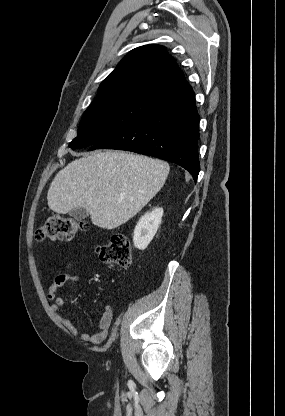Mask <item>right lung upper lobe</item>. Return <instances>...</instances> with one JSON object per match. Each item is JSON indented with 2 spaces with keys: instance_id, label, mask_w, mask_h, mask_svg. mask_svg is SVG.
<instances>
[{
  "instance_id": "obj_1",
  "label": "right lung upper lobe",
  "mask_w": 285,
  "mask_h": 416,
  "mask_svg": "<svg viewBox=\"0 0 285 416\" xmlns=\"http://www.w3.org/2000/svg\"><path fill=\"white\" fill-rule=\"evenodd\" d=\"M131 95L163 108L194 97V92L165 47L146 45L133 49L120 61L100 84L92 104Z\"/></svg>"
}]
</instances>
